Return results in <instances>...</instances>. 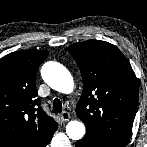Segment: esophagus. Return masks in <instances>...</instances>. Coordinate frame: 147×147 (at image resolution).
I'll use <instances>...</instances> for the list:
<instances>
[{
	"instance_id": "34e87169",
	"label": "esophagus",
	"mask_w": 147,
	"mask_h": 147,
	"mask_svg": "<svg viewBox=\"0 0 147 147\" xmlns=\"http://www.w3.org/2000/svg\"><path fill=\"white\" fill-rule=\"evenodd\" d=\"M62 121H68L70 119V114L67 111H64L60 115Z\"/></svg>"
}]
</instances>
